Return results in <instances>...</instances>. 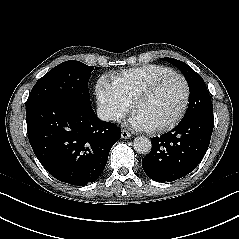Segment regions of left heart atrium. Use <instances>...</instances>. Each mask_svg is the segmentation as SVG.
<instances>
[{"mask_svg": "<svg viewBox=\"0 0 239 239\" xmlns=\"http://www.w3.org/2000/svg\"><path fill=\"white\" fill-rule=\"evenodd\" d=\"M129 125L137 131H146L150 128L149 125L135 113L129 119Z\"/></svg>", "mask_w": 239, "mask_h": 239, "instance_id": "obj_1", "label": "left heart atrium"}]
</instances>
